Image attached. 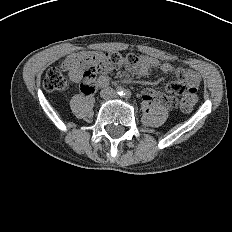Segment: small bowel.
I'll use <instances>...</instances> for the list:
<instances>
[{
	"label": "small bowel",
	"instance_id": "1",
	"mask_svg": "<svg viewBox=\"0 0 232 232\" xmlns=\"http://www.w3.org/2000/svg\"><path fill=\"white\" fill-rule=\"evenodd\" d=\"M65 69L68 71L69 80L72 83H78L81 79V73L79 68L77 67L76 60L71 57L65 62ZM129 70L137 75H147L153 70H158L165 74H175L177 78V82H175L169 88L180 84L185 83L189 87L196 88L200 83V75L191 70H187L184 68H178L174 65L167 63V62H160L159 60L152 58V57H141L140 63ZM109 79L106 75H101L98 80L97 84L101 87H104L108 84ZM156 92L151 88H146L142 92V97L146 101H151L156 97Z\"/></svg>",
	"mask_w": 232,
	"mask_h": 232
}]
</instances>
